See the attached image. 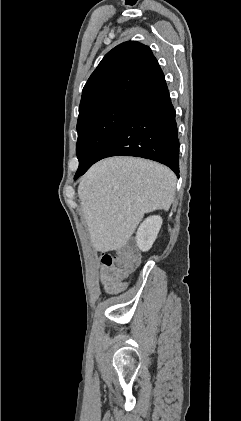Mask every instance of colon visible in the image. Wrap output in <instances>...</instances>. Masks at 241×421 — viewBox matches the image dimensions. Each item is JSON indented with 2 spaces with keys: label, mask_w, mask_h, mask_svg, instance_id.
<instances>
[{
  "label": "colon",
  "mask_w": 241,
  "mask_h": 421,
  "mask_svg": "<svg viewBox=\"0 0 241 421\" xmlns=\"http://www.w3.org/2000/svg\"><path fill=\"white\" fill-rule=\"evenodd\" d=\"M137 3L139 0H131ZM139 261L135 249L126 247L102 257V277L110 285L122 286V281L136 268Z\"/></svg>",
  "instance_id": "obj_1"
}]
</instances>
